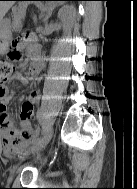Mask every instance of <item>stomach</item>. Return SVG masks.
<instances>
[{
  "instance_id": "stomach-1",
  "label": "stomach",
  "mask_w": 137,
  "mask_h": 189,
  "mask_svg": "<svg viewBox=\"0 0 137 189\" xmlns=\"http://www.w3.org/2000/svg\"><path fill=\"white\" fill-rule=\"evenodd\" d=\"M10 38V22L8 20L0 21V45L5 47Z\"/></svg>"
}]
</instances>
